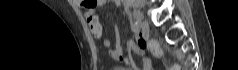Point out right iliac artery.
I'll list each match as a JSON object with an SVG mask.
<instances>
[{
	"mask_svg": "<svg viewBox=\"0 0 238 70\" xmlns=\"http://www.w3.org/2000/svg\"><path fill=\"white\" fill-rule=\"evenodd\" d=\"M132 29H133L134 31H138V30H139V25L137 24V22H135V23L132 24Z\"/></svg>",
	"mask_w": 238,
	"mask_h": 70,
	"instance_id": "obj_1",
	"label": "right iliac artery"
}]
</instances>
